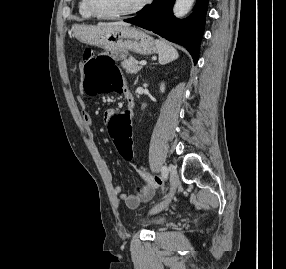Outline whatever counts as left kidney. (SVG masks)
I'll list each match as a JSON object with an SVG mask.
<instances>
[{
	"label": "left kidney",
	"instance_id": "5707ae66",
	"mask_svg": "<svg viewBox=\"0 0 286 269\" xmlns=\"http://www.w3.org/2000/svg\"><path fill=\"white\" fill-rule=\"evenodd\" d=\"M160 91L162 93L165 91V85L163 83L160 85Z\"/></svg>",
	"mask_w": 286,
	"mask_h": 269
}]
</instances>
